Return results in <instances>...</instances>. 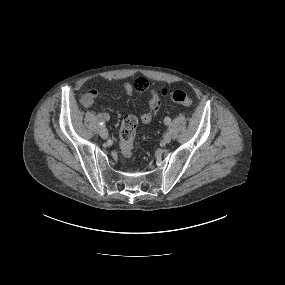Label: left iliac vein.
Instances as JSON below:
<instances>
[{
  "label": "left iliac vein",
  "instance_id": "left-iliac-vein-1",
  "mask_svg": "<svg viewBox=\"0 0 285 285\" xmlns=\"http://www.w3.org/2000/svg\"><path fill=\"white\" fill-rule=\"evenodd\" d=\"M172 137L169 133L164 134L163 136V142L164 143H169L171 141Z\"/></svg>",
  "mask_w": 285,
  "mask_h": 285
}]
</instances>
